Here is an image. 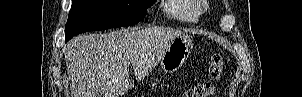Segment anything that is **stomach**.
I'll return each mask as SVG.
<instances>
[{"label":"stomach","instance_id":"stomach-1","mask_svg":"<svg viewBox=\"0 0 302 97\" xmlns=\"http://www.w3.org/2000/svg\"><path fill=\"white\" fill-rule=\"evenodd\" d=\"M193 49V43L188 35L180 34L169 44L160 59L161 69L165 73L177 71L187 60Z\"/></svg>","mask_w":302,"mask_h":97}]
</instances>
